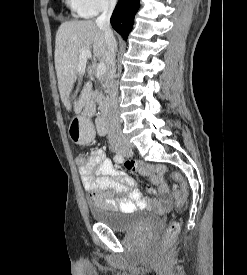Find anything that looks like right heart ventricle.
<instances>
[{"mask_svg":"<svg viewBox=\"0 0 247 275\" xmlns=\"http://www.w3.org/2000/svg\"><path fill=\"white\" fill-rule=\"evenodd\" d=\"M66 5L76 12L78 15L83 16L79 11H78V6H77V0H65Z\"/></svg>","mask_w":247,"mask_h":275,"instance_id":"obj_1","label":"right heart ventricle"}]
</instances>
